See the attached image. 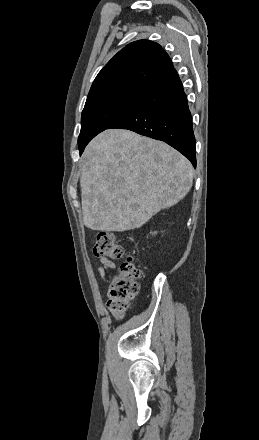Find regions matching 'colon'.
<instances>
[{
    "label": "colon",
    "mask_w": 259,
    "mask_h": 440,
    "mask_svg": "<svg viewBox=\"0 0 259 440\" xmlns=\"http://www.w3.org/2000/svg\"><path fill=\"white\" fill-rule=\"evenodd\" d=\"M96 257L121 259L125 255L123 246L116 236L109 232H100L93 247ZM142 276L132 257L128 256L121 264L118 274L110 282L107 306L112 314L120 319L124 316L130 301L137 295V280Z\"/></svg>",
    "instance_id": "5ec220e1"
}]
</instances>
